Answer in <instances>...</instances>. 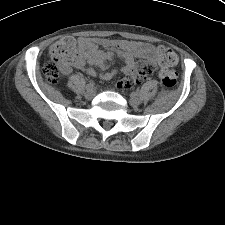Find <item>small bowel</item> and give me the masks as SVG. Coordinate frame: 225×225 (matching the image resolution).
Here are the masks:
<instances>
[{
	"label": "small bowel",
	"instance_id": "small-bowel-1",
	"mask_svg": "<svg viewBox=\"0 0 225 225\" xmlns=\"http://www.w3.org/2000/svg\"><path fill=\"white\" fill-rule=\"evenodd\" d=\"M99 46L105 47L100 49ZM77 61L73 65L61 66L62 72L68 74L73 68L82 69L91 76L96 75L94 67L99 68L101 72L99 77L103 80H110L121 71L125 75H131L136 70V65L140 63L137 56L145 57L151 61L155 60L156 49L150 45L131 46L123 41L114 40H96L85 37L77 39ZM119 58L123 65L118 68L106 70L108 64Z\"/></svg>",
	"mask_w": 225,
	"mask_h": 225
}]
</instances>
